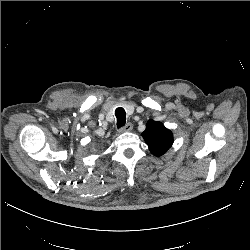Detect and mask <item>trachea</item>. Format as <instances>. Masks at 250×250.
<instances>
[{
    "label": "trachea",
    "instance_id": "1",
    "mask_svg": "<svg viewBox=\"0 0 250 250\" xmlns=\"http://www.w3.org/2000/svg\"><path fill=\"white\" fill-rule=\"evenodd\" d=\"M115 116L117 118V128H121L126 123V112L123 108L119 107L115 110Z\"/></svg>",
    "mask_w": 250,
    "mask_h": 250
}]
</instances>
